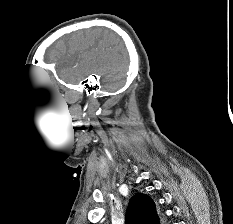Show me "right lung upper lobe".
<instances>
[{"label":"right lung upper lobe","instance_id":"cb5924a9","mask_svg":"<svg viewBox=\"0 0 233 224\" xmlns=\"http://www.w3.org/2000/svg\"><path fill=\"white\" fill-rule=\"evenodd\" d=\"M160 221L153 200L145 194H135L127 208L126 224H160Z\"/></svg>","mask_w":233,"mask_h":224}]
</instances>
